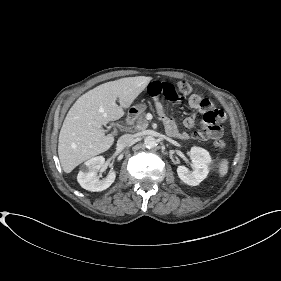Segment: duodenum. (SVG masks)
<instances>
[{
    "label": "duodenum",
    "instance_id": "1",
    "mask_svg": "<svg viewBox=\"0 0 281 281\" xmlns=\"http://www.w3.org/2000/svg\"><path fill=\"white\" fill-rule=\"evenodd\" d=\"M135 116H136L135 111H132V110L129 111V112L127 113V115H126L125 122H126L127 124L132 123V121L134 120Z\"/></svg>",
    "mask_w": 281,
    "mask_h": 281
}]
</instances>
